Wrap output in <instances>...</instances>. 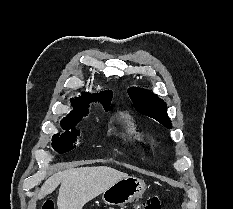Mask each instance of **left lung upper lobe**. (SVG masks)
Listing matches in <instances>:
<instances>
[{
    "label": "left lung upper lobe",
    "instance_id": "left-lung-upper-lobe-1",
    "mask_svg": "<svg viewBox=\"0 0 233 209\" xmlns=\"http://www.w3.org/2000/svg\"><path fill=\"white\" fill-rule=\"evenodd\" d=\"M128 94L137 110L160 122L167 128H171V121L166 113V103L149 90L132 87Z\"/></svg>",
    "mask_w": 233,
    "mask_h": 209
}]
</instances>
